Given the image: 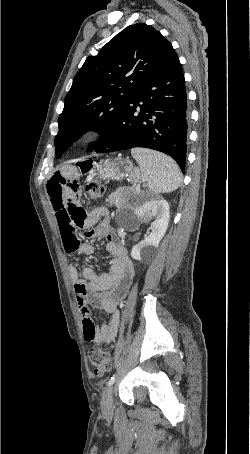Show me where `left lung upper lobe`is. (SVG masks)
<instances>
[{
	"instance_id": "1",
	"label": "left lung upper lobe",
	"mask_w": 250,
	"mask_h": 454,
	"mask_svg": "<svg viewBox=\"0 0 250 454\" xmlns=\"http://www.w3.org/2000/svg\"><path fill=\"white\" fill-rule=\"evenodd\" d=\"M174 52L159 31L144 23L126 27L110 40L96 56H89L74 77L58 118L55 137L56 156L86 131H99L96 149L117 125L139 87Z\"/></svg>"
}]
</instances>
